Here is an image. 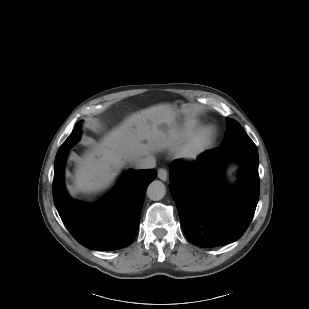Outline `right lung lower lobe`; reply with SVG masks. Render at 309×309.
<instances>
[{
  "label": "right lung lower lobe",
  "instance_id": "right-lung-lower-lobe-1",
  "mask_svg": "<svg viewBox=\"0 0 309 309\" xmlns=\"http://www.w3.org/2000/svg\"><path fill=\"white\" fill-rule=\"evenodd\" d=\"M67 151L55 159L53 199L69 232L83 246L111 251L130 245L138 231L146 188L157 172L154 169L129 171L103 201L86 205L70 199L64 186Z\"/></svg>",
  "mask_w": 309,
  "mask_h": 309
}]
</instances>
